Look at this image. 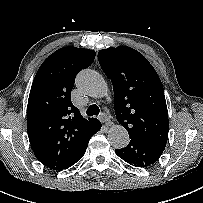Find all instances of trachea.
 <instances>
[{
  "label": "trachea",
  "instance_id": "3493384b",
  "mask_svg": "<svg viewBox=\"0 0 203 203\" xmlns=\"http://www.w3.org/2000/svg\"><path fill=\"white\" fill-rule=\"evenodd\" d=\"M100 112V109L97 105L93 104L90 105L86 111L88 116L98 115Z\"/></svg>",
  "mask_w": 203,
  "mask_h": 203
}]
</instances>
